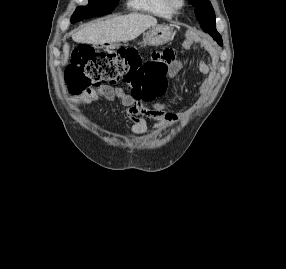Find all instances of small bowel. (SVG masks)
<instances>
[{"mask_svg":"<svg viewBox=\"0 0 286 269\" xmlns=\"http://www.w3.org/2000/svg\"><path fill=\"white\" fill-rule=\"evenodd\" d=\"M193 45L192 40L185 43L187 49ZM211 57L214 52L209 46H205ZM171 73H176L186 65V61L176 58L175 56L168 62ZM198 71L205 79L199 86V91L204 94L208 91L214 80V64L207 62L204 59L198 60ZM117 96L125 105V116L131 122V133L134 135H142L148 131V119L154 120L159 126L163 128H171L182 122L184 114L174 113L165 110L162 102H155L150 105L136 100L138 97H129L121 92H116Z\"/></svg>","mask_w":286,"mask_h":269,"instance_id":"small-bowel-1","label":"small bowel"}]
</instances>
